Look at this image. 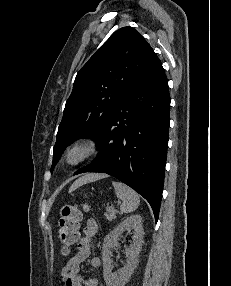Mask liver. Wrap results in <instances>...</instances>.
<instances>
[{"label": "liver", "mask_w": 231, "mask_h": 286, "mask_svg": "<svg viewBox=\"0 0 231 286\" xmlns=\"http://www.w3.org/2000/svg\"><path fill=\"white\" fill-rule=\"evenodd\" d=\"M106 175L104 174H86L83 177L77 179L72 186L69 189V192L74 191L75 189H77L78 187L82 186L83 184L89 183V182H93L99 179H103L105 178Z\"/></svg>", "instance_id": "1"}]
</instances>
